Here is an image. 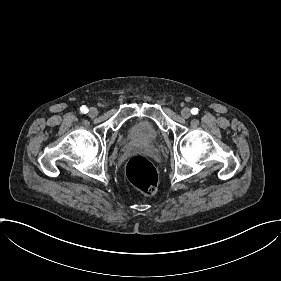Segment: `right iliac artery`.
Instances as JSON below:
<instances>
[{
  "label": "right iliac artery",
  "instance_id": "right-iliac-artery-1",
  "mask_svg": "<svg viewBox=\"0 0 281 281\" xmlns=\"http://www.w3.org/2000/svg\"><path fill=\"white\" fill-rule=\"evenodd\" d=\"M81 112L86 114L88 112V109L85 105H83L81 108H80Z\"/></svg>",
  "mask_w": 281,
  "mask_h": 281
}]
</instances>
